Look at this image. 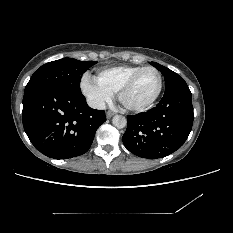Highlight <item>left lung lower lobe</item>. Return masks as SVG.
<instances>
[{
    "label": "left lung lower lobe",
    "instance_id": "obj_1",
    "mask_svg": "<svg viewBox=\"0 0 233 233\" xmlns=\"http://www.w3.org/2000/svg\"><path fill=\"white\" fill-rule=\"evenodd\" d=\"M192 124L191 92L187 84H181L165 92L156 107L127 116V129L122 140L134 155L161 158L183 145Z\"/></svg>",
    "mask_w": 233,
    "mask_h": 233
}]
</instances>
